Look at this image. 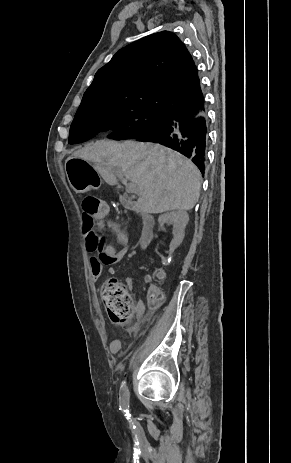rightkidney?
Segmentation results:
<instances>
[{
  "instance_id": "1",
  "label": "right kidney",
  "mask_w": 291,
  "mask_h": 463,
  "mask_svg": "<svg viewBox=\"0 0 291 463\" xmlns=\"http://www.w3.org/2000/svg\"><path fill=\"white\" fill-rule=\"evenodd\" d=\"M188 221L189 215L183 210L168 212L159 217L158 222L160 226L164 224L173 225V240L170 243V254L182 243Z\"/></svg>"
}]
</instances>
